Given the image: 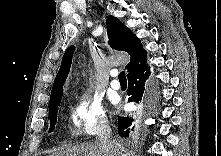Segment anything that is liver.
Segmentation results:
<instances>
[{
  "mask_svg": "<svg viewBox=\"0 0 221 156\" xmlns=\"http://www.w3.org/2000/svg\"><path fill=\"white\" fill-rule=\"evenodd\" d=\"M123 147L119 143L112 150L107 151L98 141L94 143H83L66 147L52 154V156H121Z\"/></svg>",
  "mask_w": 221,
  "mask_h": 156,
  "instance_id": "6515ba94",
  "label": "liver"
}]
</instances>
